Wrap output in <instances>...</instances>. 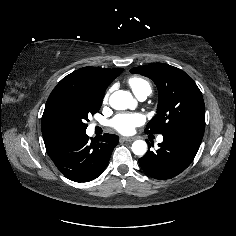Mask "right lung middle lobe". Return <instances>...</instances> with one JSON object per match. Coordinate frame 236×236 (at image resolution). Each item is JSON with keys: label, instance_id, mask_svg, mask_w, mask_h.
Masks as SVG:
<instances>
[{"label": "right lung middle lobe", "instance_id": "obj_1", "mask_svg": "<svg viewBox=\"0 0 236 236\" xmlns=\"http://www.w3.org/2000/svg\"><path fill=\"white\" fill-rule=\"evenodd\" d=\"M103 96L59 82L48 97L41 126L59 136L83 134L88 126V115L100 109Z\"/></svg>", "mask_w": 236, "mask_h": 236}]
</instances>
